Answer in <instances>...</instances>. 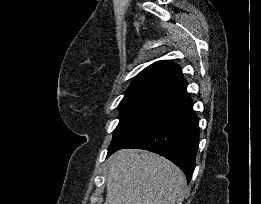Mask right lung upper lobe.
<instances>
[{"mask_svg": "<svg viewBox=\"0 0 261 204\" xmlns=\"http://www.w3.org/2000/svg\"><path fill=\"white\" fill-rule=\"evenodd\" d=\"M186 84L179 65L167 60L157 61L142 70L132 81L127 94L152 92L169 95Z\"/></svg>", "mask_w": 261, "mask_h": 204, "instance_id": "cb5924a9", "label": "right lung upper lobe"}]
</instances>
